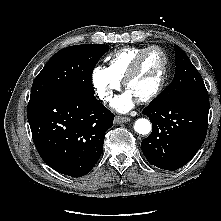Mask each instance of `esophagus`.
Returning a JSON list of instances; mask_svg holds the SVG:
<instances>
[{"label":"esophagus","instance_id":"34e87169","mask_svg":"<svg viewBox=\"0 0 221 221\" xmlns=\"http://www.w3.org/2000/svg\"><path fill=\"white\" fill-rule=\"evenodd\" d=\"M130 121V118L124 116H116L114 122L117 124L126 123Z\"/></svg>","mask_w":221,"mask_h":221}]
</instances>
